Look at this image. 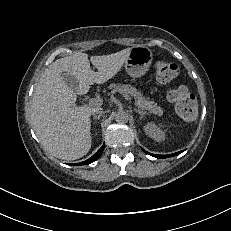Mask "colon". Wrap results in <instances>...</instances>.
I'll return each mask as SVG.
<instances>
[{"mask_svg": "<svg viewBox=\"0 0 231 231\" xmlns=\"http://www.w3.org/2000/svg\"><path fill=\"white\" fill-rule=\"evenodd\" d=\"M157 80L169 85L179 74L177 64L165 60H158L154 65ZM168 98L175 104L179 116L187 121H193L198 115V105L195 96L184 85L169 90Z\"/></svg>", "mask_w": 231, "mask_h": 231, "instance_id": "obj_1", "label": "colon"}]
</instances>
